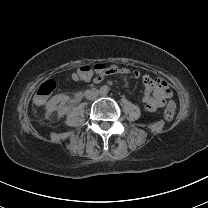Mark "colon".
<instances>
[{
  "label": "colon",
  "mask_w": 208,
  "mask_h": 208,
  "mask_svg": "<svg viewBox=\"0 0 208 208\" xmlns=\"http://www.w3.org/2000/svg\"><path fill=\"white\" fill-rule=\"evenodd\" d=\"M105 70V65L99 63L95 66L82 65L76 73L73 75L74 81H79L80 79L94 78L95 75L101 74ZM58 88V83L54 79H49L45 84H43L38 92L34 96V103L36 105H43L56 89ZM176 112V103L172 100L168 101L166 109L164 112V117L168 122L173 121Z\"/></svg>",
  "instance_id": "obj_1"
}]
</instances>
